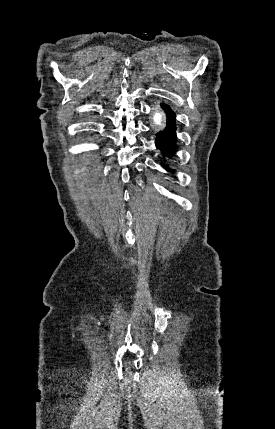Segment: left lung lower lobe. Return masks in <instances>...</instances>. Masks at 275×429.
Returning a JSON list of instances; mask_svg holds the SVG:
<instances>
[{"mask_svg":"<svg viewBox=\"0 0 275 429\" xmlns=\"http://www.w3.org/2000/svg\"><path fill=\"white\" fill-rule=\"evenodd\" d=\"M162 107L167 113L168 124L164 133L160 132L157 134L156 146L165 156H172L176 151V116L168 106L163 105ZM165 168L168 169L166 166Z\"/></svg>","mask_w":275,"mask_h":429,"instance_id":"1","label":"left lung lower lobe"}]
</instances>
